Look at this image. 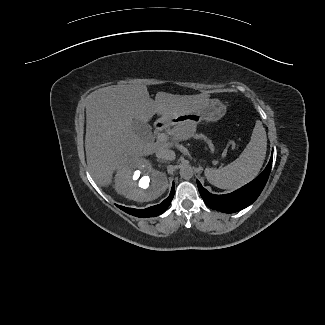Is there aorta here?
Here are the masks:
<instances>
[{
    "label": "aorta",
    "instance_id": "762f6f07",
    "mask_svg": "<svg viewBox=\"0 0 325 325\" xmlns=\"http://www.w3.org/2000/svg\"><path fill=\"white\" fill-rule=\"evenodd\" d=\"M180 176H181V178L186 179V180L192 178L193 168L188 165L182 166L180 169Z\"/></svg>",
    "mask_w": 325,
    "mask_h": 325
}]
</instances>
